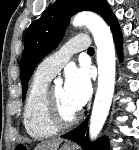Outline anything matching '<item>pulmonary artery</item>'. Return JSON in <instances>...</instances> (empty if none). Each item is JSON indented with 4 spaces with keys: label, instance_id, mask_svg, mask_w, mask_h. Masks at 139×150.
<instances>
[{
    "label": "pulmonary artery",
    "instance_id": "1",
    "mask_svg": "<svg viewBox=\"0 0 139 150\" xmlns=\"http://www.w3.org/2000/svg\"><path fill=\"white\" fill-rule=\"evenodd\" d=\"M90 48V40L86 35L71 38L58 52L43 60L36 70V75L52 78L70 59L71 55Z\"/></svg>",
    "mask_w": 139,
    "mask_h": 150
}]
</instances>
